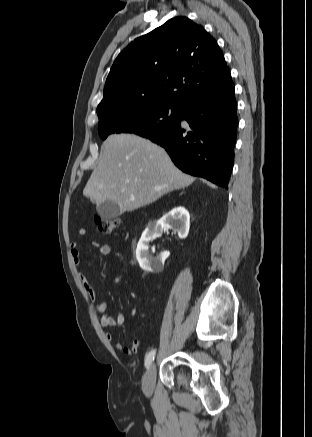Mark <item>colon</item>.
<instances>
[{
    "mask_svg": "<svg viewBox=\"0 0 312 437\" xmlns=\"http://www.w3.org/2000/svg\"><path fill=\"white\" fill-rule=\"evenodd\" d=\"M119 219L117 218H105L102 216L95 217V224L100 233H111L119 226Z\"/></svg>",
    "mask_w": 312,
    "mask_h": 437,
    "instance_id": "obj_1",
    "label": "colon"
}]
</instances>
